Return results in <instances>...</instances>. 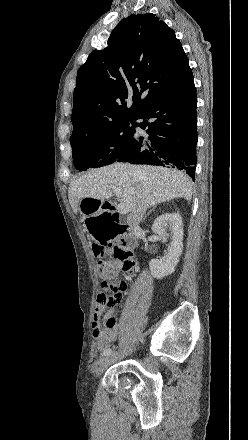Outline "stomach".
<instances>
[{"mask_svg": "<svg viewBox=\"0 0 248 440\" xmlns=\"http://www.w3.org/2000/svg\"><path fill=\"white\" fill-rule=\"evenodd\" d=\"M89 199L93 198L82 200L85 204H81L80 211L82 218H87L88 237H91L90 244L91 246H108L109 241L116 239V229L112 228L111 211L104 209L103 201Z\"/></svg>", "mask_w": 248, "mask_h": 440, "instance_id": "obj_1", "label": "stomach"}]
</instances>
